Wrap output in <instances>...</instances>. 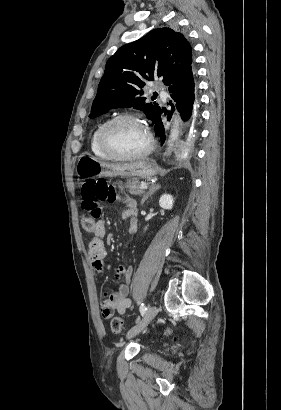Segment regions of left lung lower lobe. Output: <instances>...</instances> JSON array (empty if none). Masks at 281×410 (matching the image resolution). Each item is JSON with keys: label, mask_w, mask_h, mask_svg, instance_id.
<instances>
[{"label": "left lung lower lobe", "mask_w": 281, "mask_h": 410, "mask_svg": "<svg viewBox=\"0 0 281 410\" xmlns=\"http://www.w3.org/2000/svg\"><path fill=\"white\" fill-rule=\"evenodd\" d=\"M196 74L193 70L181 80L171 85L168 90L171 94L173 101L176 103V108L179 110L181 118L185 121V127L189 136L194 137V126L197 119V99H196ZM171 111L167 114V119L170 120L173 111L175 110L172 101ZM163 110H160L159 114L153 121L155 126V135L159 136L162 143L165 141V129L161 121V114Z\"/></svg>", "instance_id": "0a47b994"}]
</instances>
